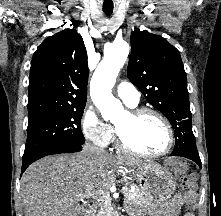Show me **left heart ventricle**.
<instances>
[{
  "label": "left heart ventricle",
  "instance_id": "b2bd125f",
  "mask_svg": "<svg viewBox=\"0 0 221 216\" xmlns=\"http://www.w3.org/2000/svg\"><path fill=\"white\" fill-rule=\"evenodd\" d=\"M115 125L126 141L142 152H159L167 145L168 134L166 128L153 115H146L139 120H132L128 113L124 112Z\"/></svg>",
  "mask_w": 221,
  "mask_h": 216
}]
</instances>
